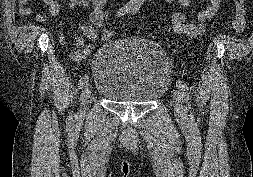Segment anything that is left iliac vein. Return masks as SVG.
I'll use <instances>...</instances> for the list:
<instances>
[{"instance_id": "left-iliac-vein-1", "label": "left iliac vein", "mask_w": 253, "mask_h": 177, "mask_svg": "<svg viewBox=\"0 0 253 177\" xmlns=\"http://www.w3.org/2000/svg\"><path fill=\"white\" fill-rule=\"evenodd\" d=\"M172 97H173L175 115L178 118L184 119L185 118V112H184L182 96L180 95V93L178 91L174 90L173 93H172Z\"/></svg>"}]
</instances>
